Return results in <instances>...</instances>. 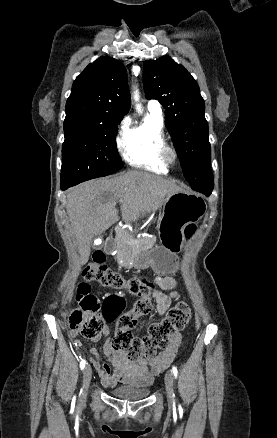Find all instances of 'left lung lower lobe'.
I'll return each mask as SVG.
<instances>
[{
  "mask_svg": "<svg viewBox=\"0 0 277 438\" xmlns=\"http://www.w3.org/2000/svg\"><path fill=\"white\" fill-rule=\"evenodd\" d=\"M195 191H198V192H200V193H203V194H205L206 196H210V194H211V192H209V191H205V190H195Z\"/></svg>",
  "mask_w": 277,
  "mask_h": 438,
  "instance_id": "obj_1",
  "label": "left lung lower lobe"
}]
</instances>
